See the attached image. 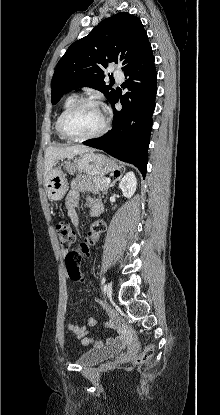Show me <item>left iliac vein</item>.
<instances>
[{
  "label": "left iliac vein",
  "instance_id": "1",
  "mask_svg": "<svg viewBox=\"0 0 220 415\" xmlns=\"http://www.w3.org/2000/svg\"><path fill=\"white\" fill-rule=\"evenodd\" d=\"M112 291H113L112 284L109 282L105 286V292H106L107 297H111Z\"/></svg>",
  "mask_w": 220,
  "mask_h": 415
}]
</instances>
